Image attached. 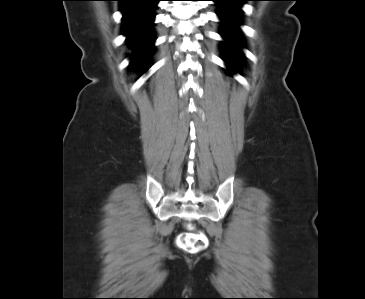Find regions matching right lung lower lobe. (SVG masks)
Instances as JSON below:
<instances>
[{"mask_svg":"<svg viewBox=\"0 0 365 299\" xmlns=\"http://www.w3.org/2000/svg\"><path fill=\"white\" fill-rule=\"evenodd\" d=\"M123 15L122 34L126 36L131 48L133 67L140 68L142 73L149 69V58L154 52L156 40L153 29L155 9L160 0H118Z\"/></svg>","mask_w":365,"mask_h":299,"instance_id":"obj_1","label":"right lung lower lobe"}]
</instances>
